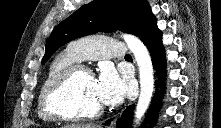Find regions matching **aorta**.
Listing matches in <instances>:
<instances>
[{
	"label": "aorta",
	"instance_id": "obj_1",
	"mask_svg": "<svg viewBox=\"0 0 221 128\" xmlns=\"http://www.w3.org/2000/svg\"><path fill=\"white\" fill-rule=\"evenodd\" d=\"M122 37L133 53L139 68L140 95L136 105L134 121L135 125H137L144 116L153 94V65L149 51L139 38L130 34H122Z\"/></svg>",
	"mask_w": 221,
	"mask_h": 128
}]
</instances>
